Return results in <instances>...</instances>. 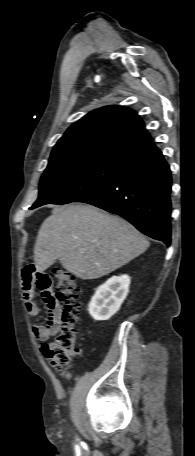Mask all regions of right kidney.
<instances>
[{
    "label": "right kidney",
    "mask_w": 195,
    "mask_h": 456,
    "mask_svg": "<svg viewBox=\"0 0 195 456\" xmlns=\"http://www.w3.org/2000/svg\"><path fill=\"white\" fill-rule=\"evenodd\" d=\"M128 275L113 276L100 285L89 303V314L98 321L109 320L120 309L128 292Z\"/></svg>",
    "instance_id": "ca27d5eb"
}]
</instances>
